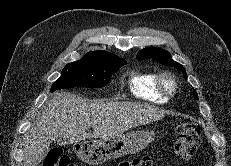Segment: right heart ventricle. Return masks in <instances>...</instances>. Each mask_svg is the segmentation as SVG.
<instances>
[{
  "mask_svg": "<svg viewBox=\"0 0 231 166\" xmlns=\"http://www.w3.org/2000/svg\"><path fill=\"white\" fill-rule=\"evenodd\" d=\"M157 74L153 71L133 72L129 79V88L134 97L140 100L163 104L167 98L156 89Z\"/></svg>",
  "mask_w": 231,
  "mask_h": 166,
  "instance_id": "right-heart-ventricle-1",
  "label": "right heart ventricle"
}]
</instances>
